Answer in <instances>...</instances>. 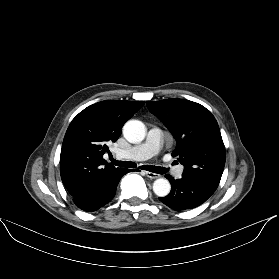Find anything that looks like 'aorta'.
Returning <instances> with one entry per match:
<instances>
[{"instance_id": "aorta-1", "label": "aorta", "mask_w": 279, "mask_h": 279, "mask_svg": "<svg viewBox=\"0 0 279 279\" xmlns=\"http://www.w3.org/2000/svg\"><path fill=\"white\" fill-rule=\"evenodd\" d=\"M124 137L132 143L141 142L146 135L145 125L138 120H130L123 127ZM171 184L165 178L156 179L153 183V191L159 197H165L170 193Z\"/></svg>"}]
</instances>
